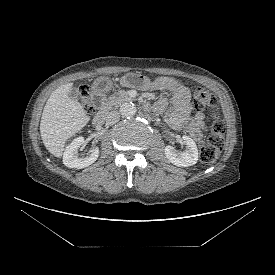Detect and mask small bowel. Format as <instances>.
<instances>
[{
    "mask_svg": "<svg viewBox=\"0 0 275 275\" xmlns=\"http://www.w3.org/2000/svg\"><path fill=\"white\" fill-rule=\"evenodd\" d=\"M126 86H133L147 91H166L172 94L169 101L160 98L152 106V110L163 113L169 106L171 111L166 115L168 124L175 128L186 131L194 140L202 138L204 115L200 112L192 114V91L184 82L173 77H158L149 79L134 73L128 74L122 79Z\"/></svg>",
    "mask_w": 275,
    "mask_h": 275,
    "instance_id": "c3829d8e",
    "label": "small bowel"
}]
</instances>
